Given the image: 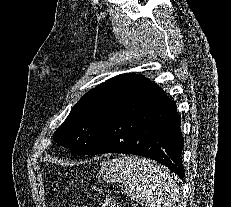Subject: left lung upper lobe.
I'll return each instance as SVG.
<instances>
[{"instance_id": "left-lung-upper-lobe-1", "label": "left lung upper lobe", "mask_w": 231, "mask_h": 207, "mask_svg": "<svg viewBox=\"0 0 231 207\" xmlns=\"http://www.w3.org/2000/svg\"><path fill=\"white\" fill-rule=\"evenodd\" d=\"M148 81L144 76L122 74L87 92L54 133L58 144L72 155L83 154L107 121Z\"/></svg>"}]
</instances>
